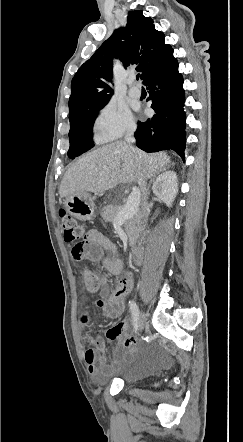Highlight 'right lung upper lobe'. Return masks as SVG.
<instances>
[{"instance_id":"obj_1","label":"right lung upper lobe","mask_w":243,"mask_h":442,"mask_svg":"<svg viewBox=\"0 0 243 442\" xmlns=\"http://www.w3.org/2000/svg\"><path fill=\"white\" fill-rule=\"evenodd\" d=\"M164 38L150 17H144L141 10L130 11L127 25L115 30L73 77L69 120L108 103L113 95L107 84L112 79L113 58H119L124 66L139 64L136 70L144 80L173 50Z\"/></svg>"}]
</instances>
